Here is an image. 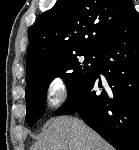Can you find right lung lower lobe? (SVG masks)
<instances>
[{
  "instance_id": "1",
  "label": "right lung lower lobe",
  "mask_w": 139,
  "mask_h": 150,
  "mask_svg": "<svg viewBox=\"0 0 139 150\" xmlns=\"http://www.w3.org/2000/svg\"><path fill=\"white\" fill-rule=\"evenodd\" d=\"M74 113L117 150H139V16L136 10L98 51L93 74L68 94L67 101L54 115Z\"/></svg>"
}]
</instances>
